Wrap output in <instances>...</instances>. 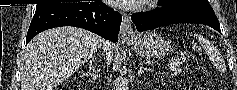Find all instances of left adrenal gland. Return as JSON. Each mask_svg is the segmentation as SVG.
Here are the masks:
<instances>
[{"label": "left adrenal gland", "instance_id": "obj_1", "mask_svg": "<svg viewBox=\"0 0 237 90\" xmlns=\"http://www.w3.org/2000/svg\"><path fill=\"white\" fill-rule=\"evenodd\" d=\"M143 66H144L143 62H140V64H139V70H138V76H139V78H140L141 74H144L145 68H143Z\"/></svg>", "mask_w": 237, "mask_h": 90}]
</instances>
